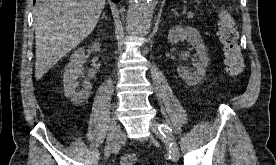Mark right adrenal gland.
<instances>
[{"instance_id":"obj_1","label":"right adrenal gland","mask_w":276,"mask_h":165,"mask_svg":"<svg viewBox=\"0 0 276 165\" xmlns=\"http://www.w3.org/2000/svg\"><path fill=\"white\" fill-rule=\"evenodd\" d=\"M102 18L107 19V16H106L105 12H103Z\"/></svg>"}]
</instances>
